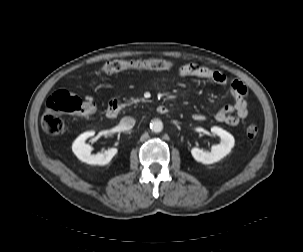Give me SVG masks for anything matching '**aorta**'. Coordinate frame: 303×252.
Segmentation results:
<instances>
[{"mask_svg": "<svg viewBox=\"0 0 303 252\" xmlns=\"http://www.w3.org/2000/svg\"><path fill=\"white\" fill-rule=\"evenodd\" d=\"M150 129L155 133L161 132L162 129H163L162 121L159 120V119L152 120L151 123H150Z\"/></svg>", "mask_w": 303, "mask_h": 252, "instance_id": "obj_1", "label": "aorta"}]
</instances>
